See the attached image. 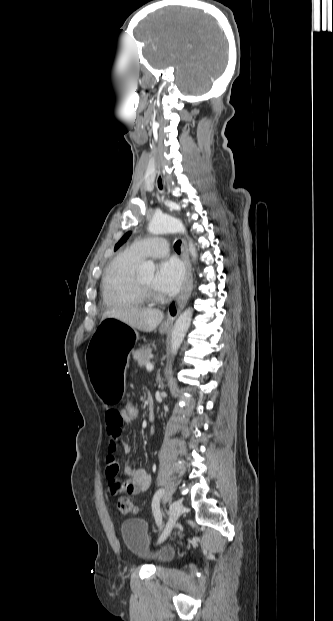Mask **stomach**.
<instances>
[{"instance_id":"obj_1","label":"stomach","mask_w":333,"mask_h":621,"mask_svg":"<svg viewBox=\"0 0 333 621\" xmlns=\"http://www.w3.org/2000/svg\"><path fill=\"white\" fill-rule=\"evenodd\" d=\"M138 338L135 328L121 320L106 318L88 343L86 372L108 412H115L123 400L127 354Z\"/></svg>"}]
</instances>
